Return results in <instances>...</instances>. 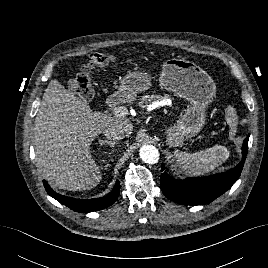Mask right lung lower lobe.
<instances>
[{"instance_id": "98d812e1", "label": "right lung lower lobe", "mask_w": 268, "mask_h": 268, "mask_svg": "<svg viewBox=\"0 0 268 268\" xmlns=\"http://www.w3.org/2000/svg\"><path fill=\"white\" fill-rule=\"evenodd\" d=\"M44 187L47 191V193L62 203L63 205L69 207L70 209L76 211V212H92V211H98L105 207L111 206L119 196L120 192V185L119 181H116V184L114 186V189L112 192L104 197L101 198H94V199H76L67 197L64 195H60L56 192H54L51 187L47 184L46 181H43Z\"/></svg>"}]
</instances>
